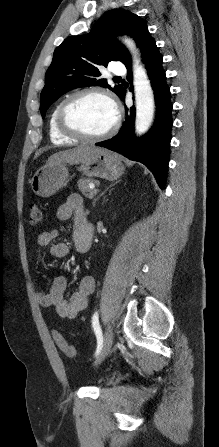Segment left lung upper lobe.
Listing matches in <instances>:
<instances>
[{"instance_id": "left-lung-upper-lobe-1", "label": "left lung upper lobe", "mask_w": 219, "mask_h": 447, "mask_svg": "<svg viewBox=\"0 0 219 447\" xmlns=\"http://www.w3.org/2000/svg\"><path fill=\"white\" fill-rule=\"evenodd\" d=\"M125 33L133 37L139 47L149 35L141 17L128 10L113 9L101 17L88 34L69 37L55 49L40 95L43 118L57 98L75 88L98 85L121 97L124 88L121 85L112 88L106 79H100L99 66H107L110 61L125 64L130 60L127 49L116 40L117 35Z\"/></svg>"}]
</instances>
